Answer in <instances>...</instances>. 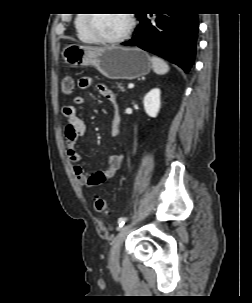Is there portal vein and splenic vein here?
<instances>
[{
  "label": "portal vein and splenic vein",
  "mask_w": 252,
  "mask_h": 303,
  "mask_svg": "<svg viewBox=\"0 0 252 303\" xmlns=\"http://www.w3.org/2000/svg\"><path fill=\"white\" fill-rule=\"evenodd\" d=\"M128 88H129V89L134 88V84H129V85H128Z\"/></svg>",
  "instance_id": "obj_1"
}]
</instances>
